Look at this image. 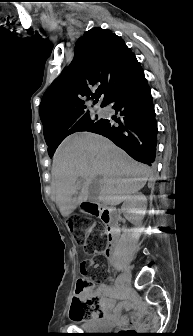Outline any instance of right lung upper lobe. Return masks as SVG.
<instances>
[{"label": "right lung upper lobe", "instance_id": "1", "mask_svg": "<svg viewBox=\"0 0 193 336\" xmlns=\"http://www.w3.org/2000/svg\"><path fill=\"white\" fill-rule=\"evenodd\" d=\"M136 62L124 41L110 30L87 31L76 42L70 65L43 95L39 113L45 140L67 132L88 114L86 98L102 96L103 107L118 81Z\"/></svg>", "mask_w": 193, "mask_h": 336}]
</instances>
